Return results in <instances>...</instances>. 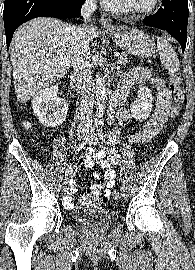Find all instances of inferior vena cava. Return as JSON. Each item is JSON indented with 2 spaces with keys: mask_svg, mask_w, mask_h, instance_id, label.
Here are the masks:
<instances>
[{
  "mask_svg": "<svg viewBox=\"0 0 195 270\" xmlns=\"http://www.w3.org/2000/svg\"><path fill=\"white\" fill-rule=\"evenodd\" d=\"M96 11V0H86L81 14L84 18L90 17ZM89 26L86 24L77 27L73 33V49L71 65L74 69L77 87L80 93L79 113L81 123L79 128L92 131V113L94 104L93 83L91 76Z\"/></svg>",
  "mask_w": 195,
  "mask_h": 270,
  "instance_id": "obj_1",
  "label": "inferior vena cava"
}]
</instances>
